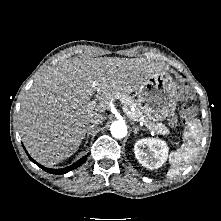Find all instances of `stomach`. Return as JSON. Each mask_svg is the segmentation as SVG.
I'll return each mask as SVG.
<instances>
[{
  "label": "stomach",
  "instance_id": "stomach-1",
  "mask_svg": "<svg viewBox=\"0 0 221 221\" xmlns=\"http://www.w3.org/2000/svg\"><path fill=\"white\" fill-rule=\"evenodd\" d=\"M139 110L148 122H159L173 115L177 101V84L167 72L153 74L137 90Z\"/></svg>",
  "mask_w": 221,
  "mask_h": 221
}]
</instances>
